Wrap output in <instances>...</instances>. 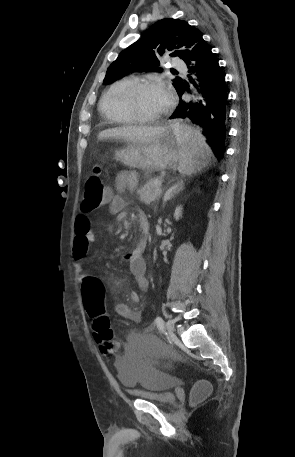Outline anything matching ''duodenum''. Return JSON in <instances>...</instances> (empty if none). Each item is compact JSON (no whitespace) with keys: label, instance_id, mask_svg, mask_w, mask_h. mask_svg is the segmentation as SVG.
<instances>
[{"label":"duodenum","instance_id":"410a0bca","mask_svg":"<svg viewBox=\"0 0 295 457\" xmlns=\"http://www.w3.org/2000/svg\"><path fill=\"white\" fill-rule=\"evenodd\" d=\"M139 223H140V227H141V229H142V232H143L145 235L148 234V232H149V224H148L145 220H143V219H140V220H139Z\"/></svg>","mask_w":295,"mask_h":457}]
</instances>
